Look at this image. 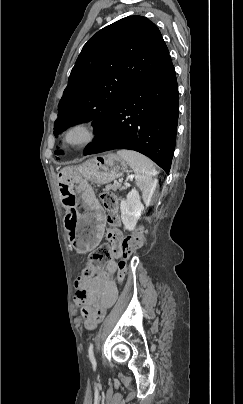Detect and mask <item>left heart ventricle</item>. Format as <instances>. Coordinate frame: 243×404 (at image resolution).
Wrapping results in <instances>:
<instances>
[{"label": "left heart ventricle", "instance_id": "1", "mask_svg": "<svg viewBox=\"0 0 243 404\" xmlns=\"http://www.w3.org/2000/svg\"><path fill=\"white\" fill-rule=\"evenodd\" d=\"M86 138V131L82 128L73 130L69 135V141L72 143H80Z\"/></svg>", "mask_w": 243, "mask_h": 404}]
</instances>
